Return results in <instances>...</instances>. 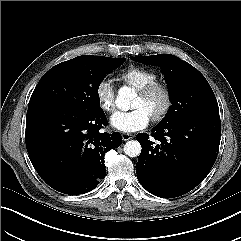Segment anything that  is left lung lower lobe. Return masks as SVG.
<instances>
[{"mask_svg": "<svg viewBox=\"0 0 241 241\" xmlns=\"http://www.w3.org/2000/svg\"><path fill=\"white\" fill-rule=\"evenodd\" d=\"M221 135L219 117L191 116L157 125L151 136H136L142 151L136 164L140 184L162 198H174L194 189L216 160Z\"/></svg>", "mask_w": 241, "mask_h": 241, "instance_id": "0a47b994", "label": "left lung lower lobe"}]
</instances>
